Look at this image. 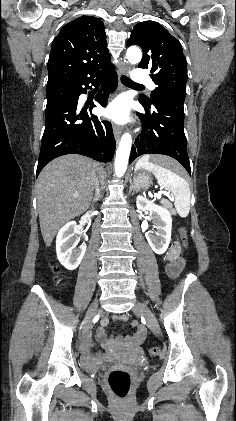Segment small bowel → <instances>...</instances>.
<instances>
[{"instance_id": "c3829d8e", "label": "small bowel", "mask_w": 236, "mask_h": 421, "mask_svg": "<svg viewBox=\"0 0 236 421\" xmlns=\"http://www.w3.org/2000/svg\"><path fill=\"white\" fill-rule=\"evenodd\" d=\"M179 246L178 244L175 245L174 249L178 250ZM143 333L142 328H138V332H137V336H140ZM87 339H89V336L87 337Z\"/></svg>"}]
</instances>
